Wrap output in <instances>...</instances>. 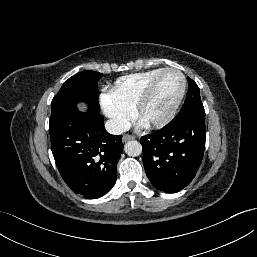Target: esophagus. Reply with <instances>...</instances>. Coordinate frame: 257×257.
<instances>
[{"instance_id":"34e87169","label":"esophagus","mask_w":257,"mask_h":257,"mask_svg":"<svg viewBox=\"0 0 257 257\" xmlns=\"http://www.w3.org/2000/svg\"><path fill=\"white\" fill-rule=\"evenodd\" d=\"M134 138H135V137L132 136V135L125 134V135H123V137H122V141H123V142H126V141L132 140V139H134Z\"/></svg>"}]
</instances>
